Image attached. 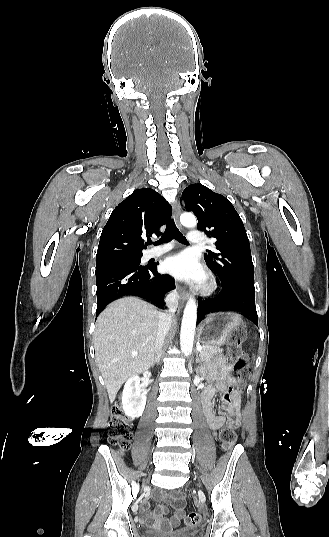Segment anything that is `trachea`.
Here are the masks:
<instances>
[{
	"label": "trachea",
	"mask_w": 329,
	"mask_h": 537,
	"mask_svg": "<svg viewBox=\"0 0 329 537\" xmlns=\"http://www.w3.org/2000/svg\"><path fill=\"white\" fill-rule=\"evenodd\" d=\"M176 239L181 243L188 244L187 239L182 235V233L178 230L173 220H171L167 224V228L165 230V233L162 235L159 241L155 242L154 245H160L164 242L169 241L170 239Z\"/></svg>",
	"instance_id": "1"
}]
</instances>
